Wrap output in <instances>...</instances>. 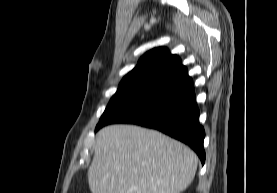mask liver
Here are the masks:
<instances>
[{
  "mask_svg": "<svg viewBox=\"0 0 277 193\" xmlns=\"http://www.w3.org/2000/svg\"><path fill=\"white\" fill-rule=\"evenodd\" d=\"M88 169L92 193H180L195 177L198 157L158 131L111 125L96 136Z\"/></svg>",
  "mask_w": 277,
  "mask_h": 193,
  "instance_id": "1",
  "label": "liver"
}]
</instances>
